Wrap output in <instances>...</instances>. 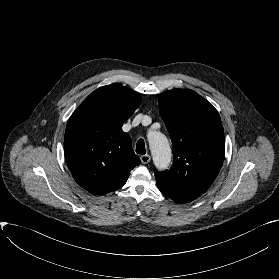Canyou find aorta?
<instances>
[{
	"instance_id": "1",
	"label": "aorta",
	"mask_w": 279,
	"mask_h": 279,
	"mask_svg": "<svg viewBox=\"0 0 279 279\" xmlns=\"http://www.w3.org/2000/svg\"><path fill=\"white\" fill-rule=\"evenodd\" d=\"M148 141L155 167L158 169L168 168L172 152L167 137L161 132L151 131L148 134Z\"/></svg>"
}]
</instances>
